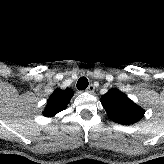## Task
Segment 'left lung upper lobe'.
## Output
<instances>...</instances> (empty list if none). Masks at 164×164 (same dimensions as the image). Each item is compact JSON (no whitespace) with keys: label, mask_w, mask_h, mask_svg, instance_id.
Returning a JSON list of instances; mask_svg holds the SVG:
<instances>
[{"label":"left lung upper lobe","mask_w":164,"mask_h":164,"mask_svg":"<svg viewBox=\"0 0 164 164\" xmlns=\"http://www.w3.org/2000/svg\"><path fill=\"white\" fill-rule=\"evenodd\" d=\"M108 117L119 124L130 125L144 116V110L118 89H111L101 97Z\"/></svg>","instance_id":"1"}]
</instances>
